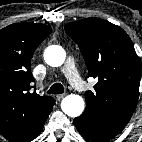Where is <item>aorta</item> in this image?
<instances>
[{
  "mask_svg": "<svg viewBox=\"0 0 142 142\" xmlns=\"http://www.w3.org/2000/svg\"><path fill=\"white\" fill-rule=\"evenodd\" d=\"M66 58L65 50L59 45H51L44 52L45 62L52 67L61 66ZM63 112L69 117L80 116L85 108L84 99L75 94L66 96L61 102Z\"/></svg>",
  "mask_w": 142,
  "mask_h": 142,
  "instance_id": "obj_1",
  "label": "aorta"
}]
</instances>
